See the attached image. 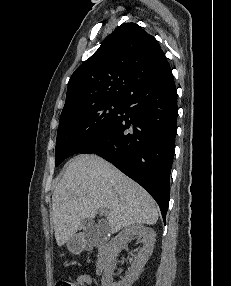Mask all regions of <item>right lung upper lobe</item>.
Here are the masks:
<instances>
[{"mask_svg":"<svg viewBox=\"0 0 231 286\" xmlns=\"http://www.w3.org/2000/svg\"><path fill=\"white\" fill-rule=\"evenodd\" d=\"M171 73L157 40L124 23L72 74L61 117L108 101H124L132 88Z\"/></svg>","mask_w":231,"mask_h":286,"instance_id":"right-lung-upper-lobe-1","label":"right lung upper lobe"}]
</instances>
